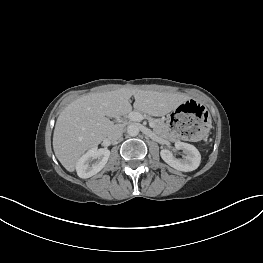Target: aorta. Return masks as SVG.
Returning a JSON list of instances; mask_svg holds the SVG:
<instances>
[{
  "instance_id": "aorta-1",
  "label": "aorta",
  "mask_w": 263,
  "mask_h": 263,
  "mask_svg": "<svg viewBox=\"0 0 263 263\" xmlns=\"http://www.w3.org/2000/svg\"><path fill=\"white\" fill-rule=\"evenodd\" d=\"M139 131L140 130L137 124H130L127 126V133L132 137L137 136Z\"/></svg>"
}]
</instances>
